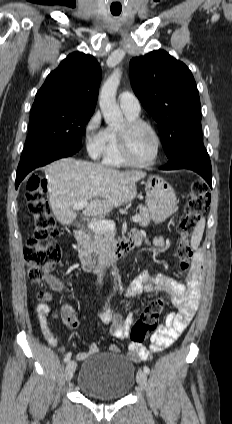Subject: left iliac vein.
Instances as JSON below:
<instances>
[{
  "instance_id": "1",
  "label": "left iliac vein",
  "mask_w": 232,
  "mask_h": 424,
  "mask_svg": "<svg viewBox=\"0 0 232 424\" xmlns=\"http://www.w3.org/2000/svg\"><path fill=\"white\" fill-rule=\"evenodd\" d=\"M137 383L140 385L141 388H145L147 384V374L145 371L139 370L137 372Z\"/></svg>"
}]
</instances>
